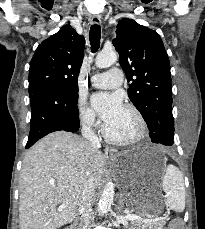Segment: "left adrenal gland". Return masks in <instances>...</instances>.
I'll list each match as a JSON object with an SVG mask.
<instances>
[{"label": "left adrenal gland", "mask_w": 205, "mask_h": 229, "mask_svg": "<svg viewBox=\"0 0 205 229\" xmlns=\"http://www.w3.org/2000/svg\"><path fill=\"white\" fill-rule=\"evenodd\" d=\"M123 206H124V204L122 202V195H120L119 203L117 205V212L118 213H122Z\"/></svg>", "instance_id": "1"}]
</instances>
